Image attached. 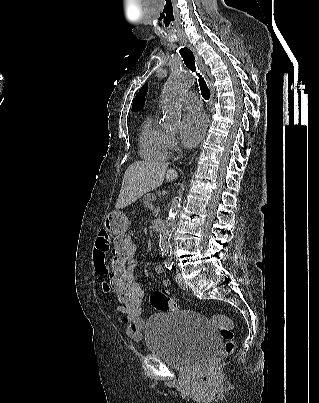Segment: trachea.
I'll return each instance as SVG.
<instances>
[{
  "mask_svg": "<svg viewBox=\"0 0 319 403\" xmlns=\"http://www.w3.org/2000/svg\"><path fill=\"white\" fill-rule=\"evenodd\" d=\"M169 22H165V26L168 27ZM180 54L183 58L184 63L186 64V66L193 72H196V66H195V57L193 52L188 49V48H181L180 49ZM196 75L199 77L198 81H199V86H200V90H201V94L203 96V98L205 100H208L210 98V90L204 80V78L196 72Z\"/></svg>",
  "mask_w": 319,
  "mask_h": 403,
  "instance_id": "3493384b",
  "label": "trachea"
}]
</instances>
